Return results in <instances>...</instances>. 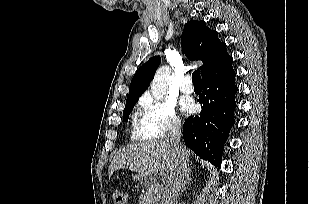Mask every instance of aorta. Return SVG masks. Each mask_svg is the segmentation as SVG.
Instances as JSON below:
<instances>
[{
  "instance_id": "obj_1",
  "label": "aorta",
  "mask_w": 309,
  "mask_h": 204,
  "mask_svg": "<svg viewBox=\"0 0 309 204\" xmlns=\"http://www.w3.org/2000/svg\"><path fill=\"white\" fill-rule=\"evenodd\" d=\"M170 75L171 69L169 66H162L156 71L150 85L151 94L156 100H162L164 98Z\"/></svg>"
}]
</instances>
